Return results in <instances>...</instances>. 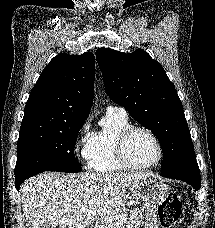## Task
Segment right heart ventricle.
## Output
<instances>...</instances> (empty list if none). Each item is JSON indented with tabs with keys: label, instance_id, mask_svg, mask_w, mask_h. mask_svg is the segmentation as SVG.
<instances>
[{
	"label": "right heart ventricle",
	"instance_id": "1",
	"mask_svg": "<svg viewBox=\"0 0 215 228\" xmlns=\"http://www.w3.org/2000/svg\"><path fill=\"white\" fill-rule=\"evenodd\" d=\"M130 125L127 113L118 110L106 113L102 128L88 135L84 143L83 157L91 171L108 174L124 170L115 154V141Z\"/></svg>",
	"mask_w": 215,
	"mask_h": 228
}]
</instances>
